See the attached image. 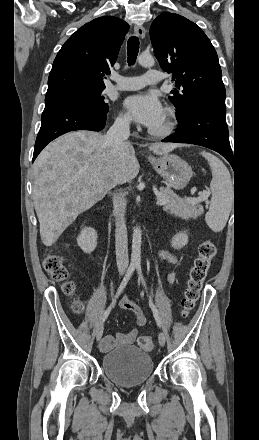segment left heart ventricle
I'll use <instances>...</instances> for the list:
<instances>
[{
    "instance_id": "obj_1",
    "label": "left heart ventricle",
    "mask_w": 259,
    "mask_h": 440,
    "mask_svg": "<svg viewBox=\"0 0 259 440\" xmlns=\"http://www.w3.org/2000/svg\"><path fill=\"white\" fill-rule=\"evenodd\" d=\"M163 121H164V117H163L162 121H161L159 124H157L156 126H154L153 128H159V127H161L162 124H163Z\"/></svg>"
}]
</instances>
